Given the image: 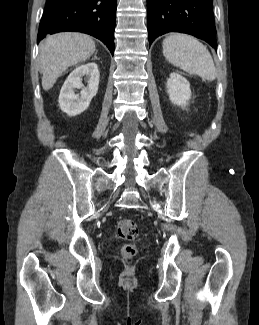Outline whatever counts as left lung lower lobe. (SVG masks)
Here are the masks:
<instances>
[{
  "instance_id": "1",
  "label": "left lung lower lobe",
  "mask_w": 259,
  "mask_h": 325,
  "mask_svg": "<svg viewBox=\"0 0 259 325\" xmlns=\"http://www.w3.org/2000/svg\"><path fill=\"white\" fill-rule=\"evenodd\" d=\"M213 0H147L151 44L168 32L193 35L217 49Z\"/></svg>"
}]
</instances>
